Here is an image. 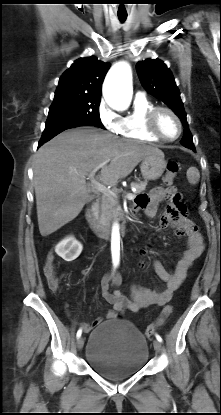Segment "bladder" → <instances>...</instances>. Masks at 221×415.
Segmentation results:
<instances>
[{"label": "bladder", "instance_id": "31cf9c89", "mask_svg": "<svg viewBox=\"0 0 221 415\" xmlns=\"http://www.w3.org/2000/svg\"><path fill=\"white\" fill-rule=\"evenodd\" d=\"M148 358L146 338L125 319H112L97 326L86 347L90 367L111 380L136 374L146 365Z\"/></svg>", "mask_w": 221, "mask_h": 415}]
</instances>
